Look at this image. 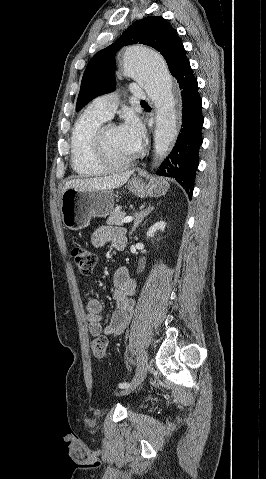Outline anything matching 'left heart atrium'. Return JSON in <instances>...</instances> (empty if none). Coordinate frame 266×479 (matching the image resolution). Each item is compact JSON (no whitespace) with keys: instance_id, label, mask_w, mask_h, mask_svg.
Returning a JSON list of instances; mask_svg holds the SVG:
<instances>
[{"instance_id":"1","label":"left heart atrium","mask_w":266,"mask_h":479,"mask_svg":"<svg viewBox=\"0 0 266 479\" xmlns=\"http://www.w3.org/2000/svg\"><path fill=\"white\" fill-rule=\"evenodd\" d=\"M118 130L128 152L131 155L136 153L143 138L141 123L134 117H128Z\"/></svg>"}]
</instances>
